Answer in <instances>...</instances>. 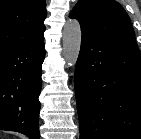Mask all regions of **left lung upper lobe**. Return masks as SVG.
I'll use <instances>...</instances> for the list:
<instances>
[{
	"instance_id": "1",
	"label": "left lung upper lobe",
	"mask_w": 141,
	"mask_h": 139,
	"mask_svg": "<svg viewBox=\"0 0 141 139\" xmlns=\"http://www.w3.org/2000/svg\"><path fill=\"white\" fill-rule=\"evenodd\" d=\"M70 17L80 22L82 32L137 46L130 18L115 0H79Z\"/></svg>"
}]
</instances>
